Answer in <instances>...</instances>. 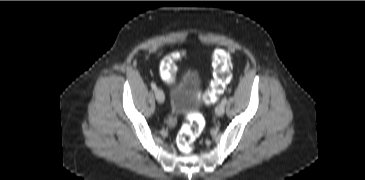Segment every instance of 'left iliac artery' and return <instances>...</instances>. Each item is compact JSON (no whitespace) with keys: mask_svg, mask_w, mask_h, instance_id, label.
<instances>
[{"mask_svg":"<svg viewBox=\"0 0 365 180\" xmlns=\"http://www.w3.org/2000/svg\"><path fill=\"white\" fill-rule=\"evenodd\" d=\"M226 102H227V97L225 96V97L222 99L221 103L225 105V104H226Z\"/></svg>","mask_w":365,"mask_h":180,"instance_id":"1","label":"left iliac artery"}]
</instances>
